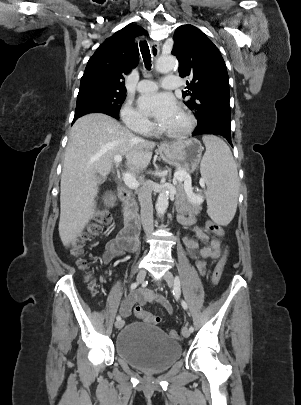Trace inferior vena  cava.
<instances>
[{"label": "inferior vena cava", "mask_w": 301, "mask_h": 405, "mask_svg": "<svg viewBox=\"0 0 301 405\" xmlns=\"http://www.w3.org/2000/svg\"><path fill=\"white\" fill-rule=\"evenodd\" d=\"M149 182H144L138 191L141 206V223L146 234L153 231V204Z\"/></svg>", "instance_id": "1"}]
</instances>
